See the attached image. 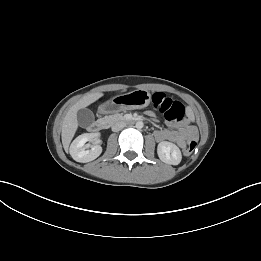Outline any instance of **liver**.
Returning a JSON list of instances; mask_svg holds the SVG:
<instances>
[{
    "mask_svg": "<svg viewBox=\"0 0 261 261\" xmlns=\"http://www.w3.org/2000/svg\"><path fill=\"white\" fill-rule=\"evenodd\" d=\"M101 96L102 93H91L84 96L78 102H76L67 112L66 116L64 117L62 127H61V138L62 144L65 151H68L69 144L73 139L75 132L78 128V120H77V112L80 109H83L90 105L91 103L97 101Z\"/></svg>",
    "mask_w": 261,
    "mask_h": 261,
    "instance_id": "1",
    "label": "liver"
}]
</instances>
